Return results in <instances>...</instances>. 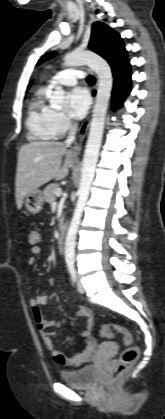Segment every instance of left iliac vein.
Returning a JSON list of instances; mask_svg holds the SVG:
<instances>
[{
  "mask_svg": "<svg viewBox=\"0 0 165 419\" xmlns=\"http://www.w3.org/2000/svg\"><path fill=\"white\" fill-rule=\"evenodd\" d=\"M77 290L79 293H84V287L83 284L81 283V281H78L77 283Z\"/></svg>",
  "mask_w": 165,
  "mask_h": 419,
  "instance_id": "left-iliac-vein-1",
  "label": "left iliac vein"
}]
</instances>
